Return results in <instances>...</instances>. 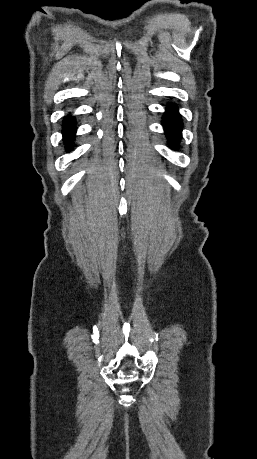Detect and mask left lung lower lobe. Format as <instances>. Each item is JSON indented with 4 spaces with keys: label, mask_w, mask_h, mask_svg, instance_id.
Returning <instances> with one entry per match:
<instances>
[{
    "label": "left lung lower lobe",
    "mask_w": 257,
    "mask_h": 459,
    "mask_svg": "<svg viewBox=\"0 0 257 459\" xmlns=\"http://www.w3.org/2000/svg\"><path fill=\"white\" fill-rule=\"evenodd\" d=\"M179 118L176 106L170 105L164 115L163 125L168 141L173 147L181 138L182 121Z\"/></svg>",
    "instance_id": "left-lung-lower-lobe-1"
}]
</instances>
